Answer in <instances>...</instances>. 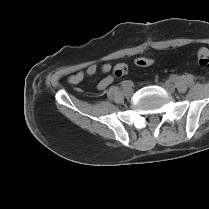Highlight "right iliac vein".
<instances>
[{"instance_id":"obj_1","label":"right iliac vein","mask_w":209,"mask_h":209,"mask_svg":"<svg viewBox=\"0 0 209 209\" xmlns=\"http://www.w3.org/2000/svg\"><path fill=\"white\" fill-rule=\"evenodd\" d=\"M123 94L126 96V97H129L132 95V89L131 88H126L123 90Z\"/></svg>"}]
</instances>
